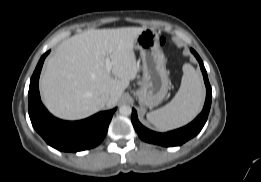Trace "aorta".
<instances>
[{"label": "aorta", "mask_w": 261, "mask_h": 182, "mask_svg": "<svg viewBox=\"0 0 261 182\" xmlns=\"http://www.w3.org/2000/svg\"><path fill=\"white\" fill-rule=\"evenodd\" d=\"M119 112L121 115L128 116L132 113V108L129 105H122L119 108Z\"/></svg>", "instance_id": "obj_1"}]
</instances>
